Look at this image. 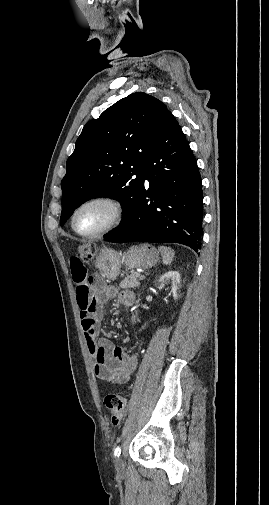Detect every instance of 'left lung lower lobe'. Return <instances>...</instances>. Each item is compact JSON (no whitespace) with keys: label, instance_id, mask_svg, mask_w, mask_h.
Instances as JSON below:
<instances>
[{"label":"left lung lower lobe","instance_id":"left-lung-lower-lobe-1","mask_svg":"<svg viewBox=\"0 0 269 505\" xmlns=\"http://www.w3.org/2000/svg\"><path fill=\"white\" fill-rule=\"evenodd\" d=\"M202 219L197 162L175 117L168 112L149 142L129 220L104 239L116 243H180L198 252Z\"/></svg>","mask_w":269,"mask_h":505}]
</instances>
